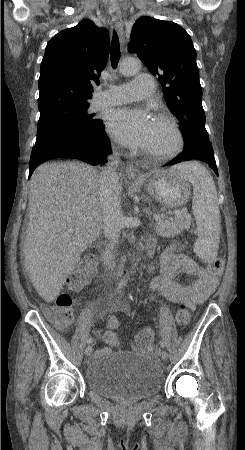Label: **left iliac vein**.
I'll return each instance as SVG.
<instances>
[{
  "label": "left iliac vein",
  "instance_id": "4c4485c4",
  "mask_svg": "<svg viewBox=\"0 0 245 450\" xmlns=\"http://www.w3.org/2000/svg\"><path fill=\"white\" fill-rule=\"evenodd\" d=\"M161 358H162V360L167 361L168 360V353L166 351H162L161 352Z\"/></svg>",
  "mask_w": 245,
  "mask_h": 450
}]
</instances>
